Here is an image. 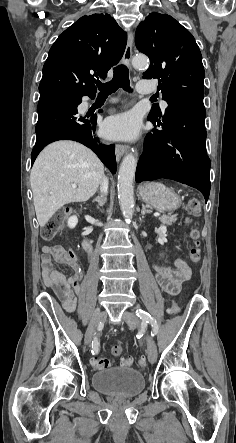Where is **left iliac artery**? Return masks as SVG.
Here are the masks:
<instances>
[{
	"instance_id": "44dca946",
	"label": "left iliac artery",
	"mask_w": 236,
	"mask_h": 443,
	"mask_svg": "<svg viewBox=\"0 0 236 443\" xmlns=\"http://www.w3.org/2000/svg\"><path fill=\"white\" fill-rule=\"evenodd\" d=\"M136 315L142 320V322L149 323L152 327L151 336H155L158 333V324L156 320L146 311L137 309Z\"/></svg>"
}]
</instances>
